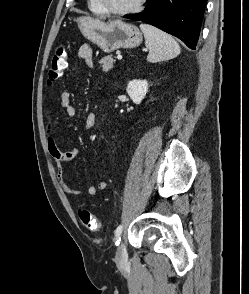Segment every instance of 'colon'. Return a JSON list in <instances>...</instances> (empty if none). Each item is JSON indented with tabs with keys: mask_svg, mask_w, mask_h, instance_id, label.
Returning a JSON list of instances; mask_svg holds the SVG:
<instances>
[{
	"mask_svg": "<svg viewBox=\"0 0 249 294\" xmlns=\"http://www.w3.org/2000/svg\"><path fill=\"white\" fill-rule=\"evenodd\" d=\"M67 65V51L64 46H60L55 51L48 70L49 82H55L61 78ZM80 220L85 228L90 231H97L100 228L99 220L88 210L79 211Z\"/></svg>",
	"mask_w": 249,
	"mask_h": 294,
	"instance_id": "colon-1",
	"label": "colon"
}]
</instances>
